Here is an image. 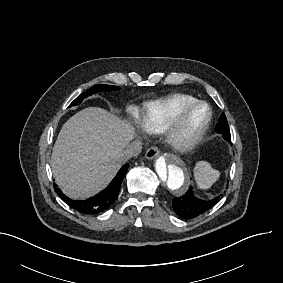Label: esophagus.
I'll use <instances>...</instances> for the list:
<instances>
[{"instance_id": "1", "label": "esophagus", "mask_w": 283, "mask_h": 283, "mask_svg": "<svg viewBox=\"0 0 283 283\" xmlns=\"http://www.w3.org/2000/svg\"><path fill=\"white\" fill-rule=\"evenodd\" d=\"M159 153H160L159 149L157 147L153 146V147H150L147 150L145 157L148 160H153L156 157H158ZM167 157L170 158V159H177L178 160V158L173 154H168Z\"/></svg>"}]
</instances>
